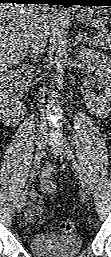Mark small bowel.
Wrapping results in <instances>:
<instances>
[{"mask_svg": "<svg viewBox=\"0 0 111 257\" xmlns=\"http://www.w3.org/2000/svg\"><path fill=\"white\" fill-rule=\"evenodd\" d=\"M52 172V167L47 165L44 168L40 178L42 190L47 194H52L56 190V183L51 179ZM26 217L28 220L34 223L42 222V210L36 202H33L27 209Z\"/></svg>", "mask_w": 111, "mask_h": 257, "instance_id": "1", "label": "small bowel"}]
</instances>
